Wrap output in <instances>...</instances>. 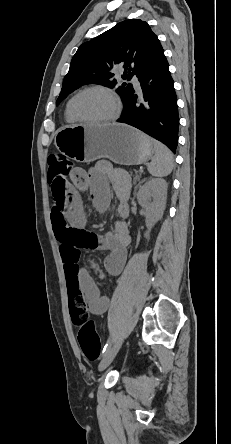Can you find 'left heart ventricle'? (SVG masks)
<instances>
[{
  "label": "left heart ventricle",
  "mask_w": 231,
  "mask_h": 444,
  "mask_svg": "<svg viewBox=\"0 0 231 444\" xmlns=\"http://www.w3.org/2000/svg\"><path fill=\"white\" fill-rule=\"evenodd\" d=\"M77 110L86 119L100 120L113 114L114 105L107 94L93 90L86 92L79 98Z\"/></svg>",
  "instance_id": "left-heart-ventricle-1"
}]
</instances>
